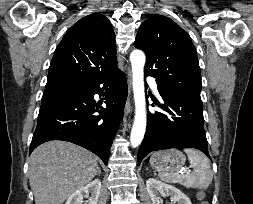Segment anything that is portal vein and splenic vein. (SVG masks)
Returning a JSON list of instances; mask_svg holds the SVG:
<instances>
[{"mask_svg":"<svg viewBox=\"0 0 253 204\" xmlns=\"http://www.w3.org/2000/svg\"><path fill=\"white\" fill-rule=\"evenodd\" d=\"M180 173H190V170H187V169H182L179 171Z\"/></svg>","mask_w":253,"mask_h":204,"instance_id":"obj_1","label":"portal vein and splenic vein"}]
</instances>
